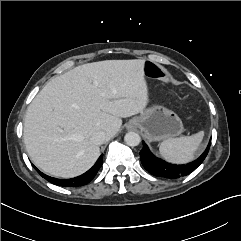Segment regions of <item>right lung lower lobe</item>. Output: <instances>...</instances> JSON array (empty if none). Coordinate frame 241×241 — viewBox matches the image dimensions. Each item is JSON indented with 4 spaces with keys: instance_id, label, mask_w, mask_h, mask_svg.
<instances>
[{
    "instance_id": "98d812e1",
    "label": "right lung lower lobe",
    "mask_w": 241,
    "mask_h": 241,
    "mask_svg": "<svg viewBox=\"0 0 241 241\" xmlns=\"http://www.w3.org/2000/svg\"><path fill=\"white\" fill-rule=\"evenodd\" d=\"M102 163H103V155H101L99 157V159L97 160L95 165L90 170H88L86 173H84L78 177H75L72 179H66V180L51 178V177L43 174L42 172H40L36 167H35V169L40 173V175H42L50 183H53V184H56L59 186H64V187H78V186H83V185H86L87 183H89L97 174Z\"/></svg>"
}]
</instances>
